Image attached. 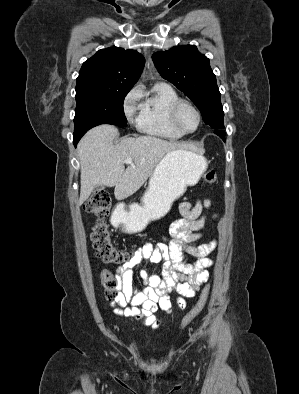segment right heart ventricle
I'll return each instance as SVG.
<instances>
[{
  "label": "right heart ventricle",
  "instance_id": "1",
  "mask_svg": "<svg viewBox=\"0 0 299 394\" xmlns=\"http://www.w3.org/2000/svg\"><path fill=\"white\" fill-rule=\"evenodd\" d=\"M180 99L178 93L166 83H156L141 103L137 123L139 129L150 136L176 140L183 136L170 123L171 106Z\"/></svg>",
  "mask_w": 299,
  "mask_h": 394
}]
</instances>
